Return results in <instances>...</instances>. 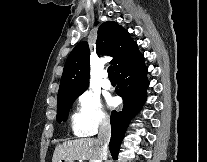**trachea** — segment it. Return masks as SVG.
I'll list each match as a JSON object with an SVG mask.
<instances>
[{"instance_id": "1", "label": "trachea", "mask_w": 207, "mask_h": 162, "mask_svg": "<svg viewBox=\"0 0 207 162\" xmlns=\"http://www.w3.org/2000/svg\"><path fill=\"white\" fill-rule=\"evenodd\" d=\"M108 76L109 79H116L113 66L108 67Z\"/></svg>"}]
</instances>
